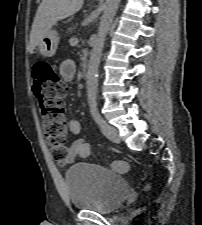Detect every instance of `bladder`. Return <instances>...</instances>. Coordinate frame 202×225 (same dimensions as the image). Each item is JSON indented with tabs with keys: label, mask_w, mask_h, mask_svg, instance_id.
Masks as SVG:
<instances>
[{
	"label": "bladder",
	"mask_w": 202,
	"mask_h": 225,
	"mask_svg": "<svg viewBox=\"0 0 202 225\" xmlns=\"http://www.w3.org/2000/svg\"><path fill=\"white\" fill-rule=\"evenodd\" d=\"M67 195L74 209L110 214L127 198L129 183L107 167L77 164L64 175Z\"/></svg>",
	"instance_id": "obj_1"
}]
</instances>
